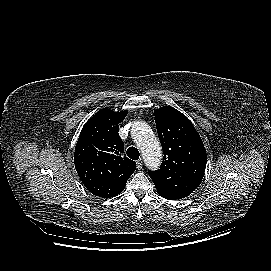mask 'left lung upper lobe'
<instances>
[{"label":"left lung upper lobe","mask_w":271,"mask_h":271,"mask_svg":"<svg viewBox=\"0 0 271 271\" xmlns=\"http://www.w3.org/2000/svg\"><path fill=\"white\" fill-rule=\"evenodd\" d=\"M154 116L164 154L160 169L149 171L157 192L167 191L173 177L199 186L207 155L196 129L184 114L171 106L155 110Z\"/></svg>","instance_id":"5c2ea615"}]
</instances>
